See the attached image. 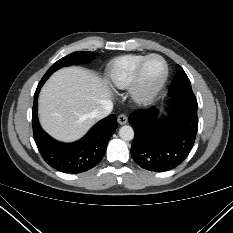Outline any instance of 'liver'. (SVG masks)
<instances>
[{
  "label": "liver",
  "instance_id": "1",
  "mask_svg": "<svg viewBox=\"0 0 233 233\" xmlns=\"http://www.w3.org/2000/svg\"><path fill=\"white\" fill-rule=\"evenodd\" d=\"M112 97V92L95 73L82 67L56 71L39 96V120L53 138L73 142L96 123L90 113Z\"/></svg>",
  "mask_w": 233,
  "mask_h": 233
}]
</instances>
